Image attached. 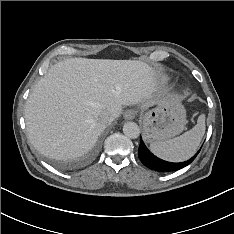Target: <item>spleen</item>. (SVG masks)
<instances>
[{"label": "spleen", "mask_w": 234, "mask_h": 234, "mask_svg": "<svg viewBox=\"0 0 234 234\" xmlns=\"http://www.w3.org/2000/svg\"><path fill=\"white\" fill-rule=\"evenodd\" d=\"M205 133V116L198 117L197 124L184 134L162 142L150 144L151 151L164 160L182 162L191 158L197 151Z\"/></svg>", "instance_id": "obj_1"}]
</instances>
